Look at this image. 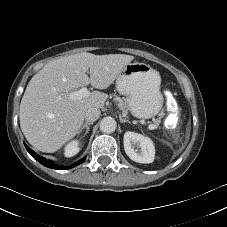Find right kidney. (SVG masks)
<instances>
[{
	"mask_svg": "<svg viewBox=\"0 0 227 227\" xmlns=\"http://www.w3.org/2000/svg\"><path fill=\"white\" fill-rule=\"evenodd\" d=\"M65 156L66 157H72L76 155L80 151L79 147V141L78 140H73L69 144L66 145L65 147Z\"/></svg>",
	"mask_w": 227,
	"mask_h": 227,
	"instance_id": "1",
	"label": "right kidney"
}]
</instances>
